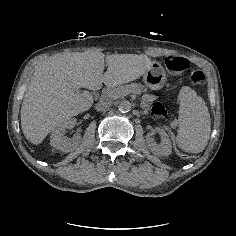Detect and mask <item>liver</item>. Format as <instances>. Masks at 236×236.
Listing matches in <instances>:
<instances>
[{
	"label": "liver",
	"mask_w": 236,
	"mask_h": 236,
	"mask_svg": "<svg viewBox=\"0 0 236 236\" xmlns=\"http://www.w3.org/2000/svg\"><path fill=\"white\" fill-rule=\"evenodd\" d=\"M104 58L107 71H104ZM142 55L109 54L86 49L83 52L58 53L41 59L27 86L20 110L25 138L39 145L65 121L91 108L97 91L104 83L115 87L138 79L145 73Z\"/></svg>",
	"instance_id": "obj_1"
}]
</instances>
